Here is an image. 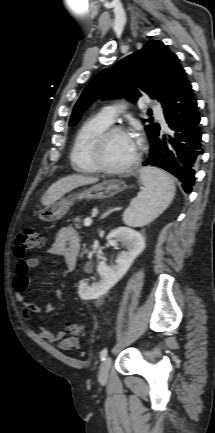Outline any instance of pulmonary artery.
Segmentation results:
<instances>
[{
  "label": "pulmonary artery",
  "instance_id": "pulmonary-artery-1",
  "mask_svg": "<svg viewBox=\"0 0 215 433\" xmlns=\"http://www.w3.org/2000/svg\"><path fill=\"white\" fill-rule=\"evenodd\" d=\"M152 110L155 112V115L157 117V119L160 121V123L162 124L163 127H166V121L164 118V115L162 113L159 112V107L157 105H153L152 106ZM120 112L119 108L115 105H109L104 107L100 114L109 122H113L115 120V118L117 117L118 113Z\"/></svg>",
  "mask_w": 215,
  "mask_h": 433
}]
</instances>
